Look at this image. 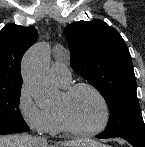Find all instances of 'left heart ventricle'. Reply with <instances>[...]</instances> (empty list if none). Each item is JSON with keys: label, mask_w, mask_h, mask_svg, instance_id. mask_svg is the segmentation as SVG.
<instances>
[{"label": "left heart ventricle", "mask_w": 145, "mask_h": 147, "mask_svg": "<svg viewBox=\"0 0 145 147\" xmlns=\"http://www.w3.org/2000/svg\"><path fill=\"white\" fill-rule=\"evenodd\" d=\"M68 120L78 129L90 130L98 127L104 119V108L98 97L88 89H80L69 98L63 94L56 102Z\"/></svg>", "instance_id": "1"}]
</instances>
